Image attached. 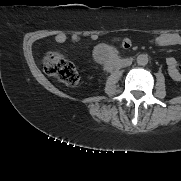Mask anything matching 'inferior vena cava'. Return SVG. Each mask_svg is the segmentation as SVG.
<instances>
[{
    "mask_svg": "<svg viewBox=\"0 0 181 181\" xmlns=\"http://www.w3.org/2000/svg\"><path fill=\"white\" fill-rule=\"evenodd\" d=\"M132 64V61L131 60H129V59H123L122 61H121V67H127V66H130Z\"/></svg>",
    "mask_w": 181,
    "mask_h": 181,
    "instance_id": "602c4592",
    "label": "inferior vena cava"
}]
</instances>
